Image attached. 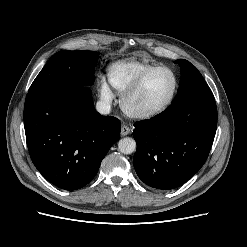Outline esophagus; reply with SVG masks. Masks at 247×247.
<instances>
[{"label": "esophagus", "instance_id": "1", "mask_svg": "<svg viewBox=\"0 0 247 247\" xmlns=\"http://www.w3.org/2000/svg\"><path fill=\"white\" fill-rule=\"evenodd\" d=\"M130 132H131V129L128 126L122 125V127H121V135L122 136H126V135L130 134Z\"/></svg>", "mask_w": 247, "mask_h": 247}]
</instances>
